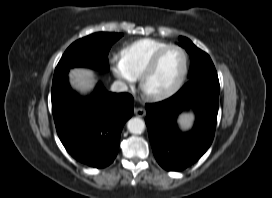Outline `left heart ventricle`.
<instances>
[{"label":"left heart ventricle","mask_w":272,"mask_h":198,"mask_svg":"<svg viewBox=\"0 0 272 198\" xmlns=\"http://www.w3.org/2000/svg\"><path fill=\"white\" fill-rule=\"evenodd\" d=\"M183 66L184 57L181 51L177 49L167 51L155 71L146 80V91L158 93L170 89L180 78Z\"/></svg>","instance_id":"1"}]
</instances>
